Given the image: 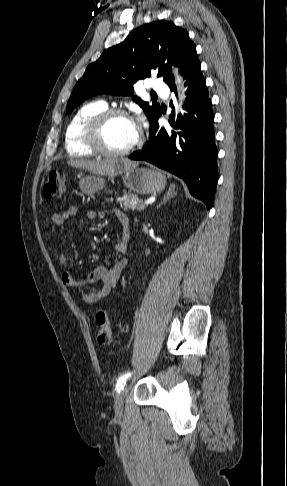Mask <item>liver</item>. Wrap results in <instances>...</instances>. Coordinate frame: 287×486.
<instances>
[{"mask_svg":"<svg viewBox=\"0 0 287 486\" xmlns=\"http://www.w3.org/2000/svg\"><path fill=\"white\" fill-rule=\"evenodd\" d=\"M138 162L127 158L107 160L70 159L68 165L84 169L90 173L113 177L124 171L138 166Z\"/></svg>","mask_w":287,"mask_h":486,"instance_id":"1","label":"liver"}]
</instances>
